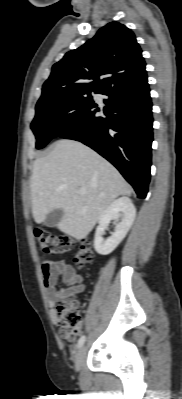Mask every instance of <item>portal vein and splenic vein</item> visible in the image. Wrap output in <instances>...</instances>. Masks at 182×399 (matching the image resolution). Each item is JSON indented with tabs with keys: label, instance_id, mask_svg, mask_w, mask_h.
Segmentation results:
<instances>
[{
	"label": "portal vein and splenic vein",
	"instance_id": "18ae733b",
	"mask_svg": "<svg viewBox=\"0 0 182 399\" xmlns=\"http://www.w3.org/2000/svg\"><path fill=\"white\" fill-rule=\"evenodd\" d=\"M85 192H86V189H85V188H80V189H79V193H80V194H85Z\"/></svg>",
	"mask_w": 182,
	"mask_h": 399
}]
</instances>
